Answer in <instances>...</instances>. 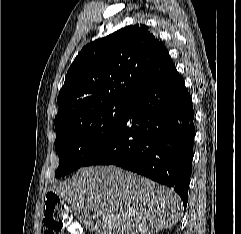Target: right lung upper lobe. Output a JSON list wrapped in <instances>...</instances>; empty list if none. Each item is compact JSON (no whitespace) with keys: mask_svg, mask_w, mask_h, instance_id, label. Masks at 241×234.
<instances>
[{"mask_svg":"<svg viewBox=\"0 0 241 234\" xmlns=\"http://www.w3.org/2000/svg\"><path fill=\"white\" fill-rule=\"evenodd\" d=\"M174 65L163 42L135 24L86 45L70 66L59 92L55 130L85 110L129 104Z\"/></svg>","mask_w":241,"mask_h":234,"instance_id":"right-lung-upper-lobe-1","label":"right lung upper lobe"}]
</instances>
